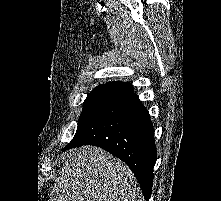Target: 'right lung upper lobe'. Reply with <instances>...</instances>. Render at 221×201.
I'll return each mask as SVG.
<instances>
[{
	"mask_svg": "<svg viewBox=\"0 0 221 201\" xmlns=\"http://www.w3.org/2000/svg\"><path fill=\"white\" fill-rule=\"evenodd\" d=\"M126 85H127V83H125V82H120V81L115 82L114 81V82H109V83H106V84L99 85L96 88H112V89L119 90V89L123 88Z\"/></svg>",
	"mask_w": 221,
	"mask_h": 201,
	"instance_id": "right-lung-upper-lobe-1",
	"label": "right lung upper lobe"
}]
</instances>
